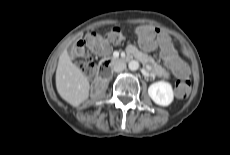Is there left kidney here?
Masks as SVG:
<instances>
[{
	"instance_id": "1",
	"label": "left kidney",
	"mask_w": 230,
	"mask_h": 155,
	"mask_svg": "<svg viewBox=\"0 0 230 155\" xmlns=\"http://www.w3.org/2000/svg\"><path fill=\"white\" fill-rule=\"evenodd\" d=\"M148 94L158 105L168 106L173 101V89L168 82L159 81L148 88Z\"/></svg>"
}]
</instances>
